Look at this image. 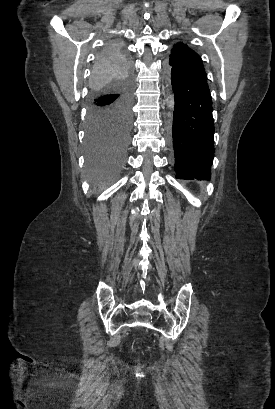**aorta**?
Listing matches in <instances>:
<instances>
[{
	"instance_id": "obj_1",
	"label": "aorta",
	"mask_w": 275,
	"mask_h": 409,
	"mask_svg": "<svg viewBox=\"0 0 275 409\" xmlns=\"http://www.w3.org/2000/svg\"><path fill=\"white\" fill-rule=\"evenodd\" d=\"M167 102H168V106H173V104H174V100H173V98H172L171 94H170V96H168V98H167Z\"/></svg>"
}]
</instances>
